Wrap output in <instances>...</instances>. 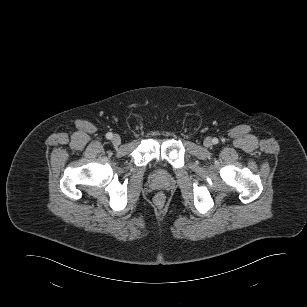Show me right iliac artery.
<instances>
[{"label":"right iliac artery","instance_id":"right-iliac-artery-1","mask_svg":"<svg viewBox=\"0 0 307 307\" xmlns=\"http://www.w3.org/2000/svg\"><path fill=\"white\" fill-rule=\"evenodd\" d=\"M112 137H113V134H112V133L109 132V133L106 134V138H107V139H111Z\"/></svg>","mask_w":307,"mask_h":307}]
</instances>
